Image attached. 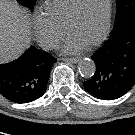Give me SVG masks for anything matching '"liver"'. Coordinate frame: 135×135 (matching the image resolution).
<instances>
[{"mask_svg": "<svg viewBox=\"0 0 135 135\" xmlns=\"http://www.w3.org/2000/svg\"><path fill=\"white\" fill-rule=\"evenodd\" d=\"M28 14L14 0H0V63L17 58L31 41Z\"/></svg>", "mask_w": 135, "mask_h": 135, "instance_id": "6515ba94", "label": "liver"}]
</instances>
